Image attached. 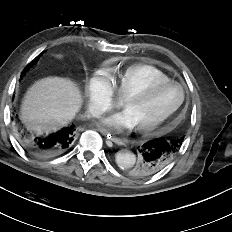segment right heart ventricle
I'll return each mask as SVG.
<instances>
[{
	"mask_svg": "<svg viewBox=\"0 0 232 232\" xmlns=\"http://www.w3.org/2000/svg\"><path fill=\"white\" fill-rule=\"evenodd\" d=\"M105 74L110 81L113 92L123 98L151 84L169 80L163 71L147 64H134L118 69L106 63Z\"/></svg>",
	"mask_w": 232,
	"mask_h": 232,
	"instance_id": "right-heart-ventricle-1",
	"label": "right heart ventricle"
}]
</instances>
